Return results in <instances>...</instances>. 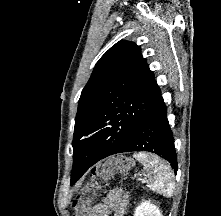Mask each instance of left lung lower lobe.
<instances>
[{
  "label": "left lung lower lobe",
  "instance_id": "left-lung-lower-lobe-1",
  "mask_svg": "<svg viewBox=\"0 0 221 216\" xmlns=\"http://www.w3.org/2000/svg\"><path fill=\"white\" fill-rule=\"evenodd\" d=\"M131 151H148L160 155L177 171L173 134L167 120V109L157 86L155 100L129 141L119 149L105 143L91 146L82 152L81 170L71 181L73 185L91 166L110 155Z\"/></svg>",
  "mask_w": 221,
  "mask_h": 216
}]
</instances>
